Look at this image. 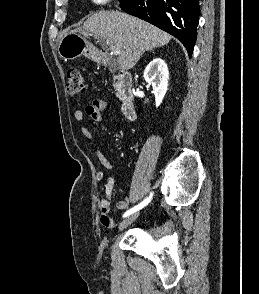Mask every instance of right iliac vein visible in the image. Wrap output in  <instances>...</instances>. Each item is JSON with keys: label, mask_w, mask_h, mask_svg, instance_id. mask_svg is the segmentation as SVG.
<instances>
[{"label": "right iliac vein", "mask_w": 259, "mask_h": 294, "mask_svg": "<svg viewBox=\"0 0 259 294\" xmlns=\"http://www.w3.org/2000/svg\"><path fill=\"white\" fill-rule=\"evenodd\" d=\"M139 216V212H135L131 215H129L128 217H126L119 226L120 230H123L125 228H127L130 224H132Z\"/></svg>", "instance_id": "right-iliac-vein-1"}]
</instances>
